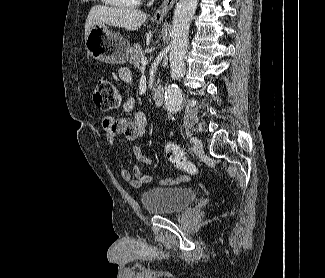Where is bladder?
I'll use <instances>...</instances> for the list:
<instances>
[{
	"mask_svg": "<svg viewBox=\"0 0 325 278\" xmlns=\"http://www.w3.org/2000/svg\"><path fill=\"white\" fill-rule=\"evenodd\" d=\"M140 198L149 215L163 216L188 208L196 199V192L188 186L155 187Z\"/></svg>",
	"mask_w": 325,
	"mask_h": 278,
	"instance_id": "bladder-1",
	"label": "bladder"
}]
</instances>
